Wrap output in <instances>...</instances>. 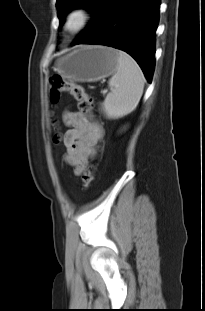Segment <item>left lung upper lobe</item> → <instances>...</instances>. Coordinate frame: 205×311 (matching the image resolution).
Returning <instances> with one entry per match:
<instances>
[{"mask_svg": "<svg viewBox=\"0 0 205 311\" xmlns=\"http://www.w3.org/2000/svg\"><path fill=\"white\" fill-rule=\"evenodd\" d=\"M114 0H57L56 7L58 10V17L60 24L63 23L65 14L71 8L82 7L89 9L92 13L93 19L89 22L88 27L82 32L81 36L77 38V42L83 38L90 30L98 26V24L107 15Z\"/></svg>", "mask_w": 205, "mask_h": 311, "instance_id": "1", "label": "left lung upper lobe"}]
</instances>
